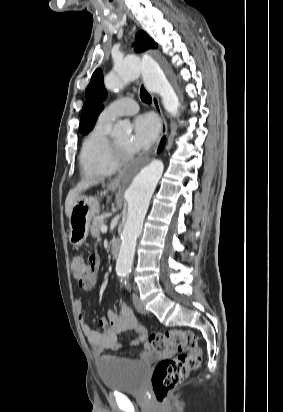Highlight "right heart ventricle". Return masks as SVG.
Listing matches in <instances>:
<instances>
[{"mask_svg":"<svg viewBox=\"0 0 283 412\" xmlns=\"http://www.w3.org/2000/svg\"><path fill=\"white\" fill-rule=\"evenodd\" d=\"M107 125L108 122L99 119L83 141L79 166L85 177L109 176L119 168L111 155Z\"/></svg>","mask_w":283,"mask_h":412,"instance_id":"right-heart-ventricle-1","label":"right heart ventricle"}]
</instances>
